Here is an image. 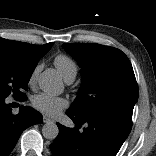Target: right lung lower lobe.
I'll list each match as a JSON object with an SVG mask.
<instances>
[{"label":"right lung lower lobe","mask_w":156,"mask_h":156,"mask_svg":"<svg viewBox=\"0 0 156 156\" xmlns=\"http://www.w3.org/2000/svg\"><path fill=\"white\" fill-rule=\"evenodd\" d=\"M5 98L0 95V156L10 154L26 128L42 122L41 113L30 107L22 106L20 112L13 115L11 104H6Z\"/></svg>","instance_id":"98d812e1"}]
</instances>
